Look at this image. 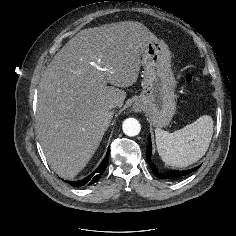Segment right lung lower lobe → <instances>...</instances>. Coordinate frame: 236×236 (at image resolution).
I'll list each match as a JSON object with an SVG mask.
<instances>
[{"label":"right lung lower lobe","instance_id":"98d812e1","mask_svg":"<svg viewBox=\"0 0 236 236\" xmlns=\"http://www.w3.org/2000/svg\"><path fill=\"white\" fill-rule=\"evenodd\" d=\"M108 159H109V149L107 151V154L101 164V166L95 170L93 173H91L89 176H87L84 179L78 180V181H67L71 186L74 187H83V186H87V185H91L93 183H95L96 181L99 180V178L101 177V175L104 173L107 164H108Z\"/></svg>","mask_w":236,"mask_h":236}]
</instances>
